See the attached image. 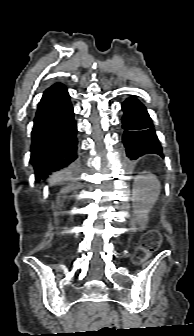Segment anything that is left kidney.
<instances>
[{"label":"left kidney","mask_w":194,"mask_h":336,"mask_svg":"<svg viewBox=\"0 0 194 336\" xmlns=\"http://www.w3.org/2000/svg\"><path fill=\"white\" fill-rule=\"evenodd\" d=\"M160 182L154 174L144 172L134 179L132 202L137 220L143 222L158 199Z\"/></svg>","instance_id":"1"}]
</instances>
